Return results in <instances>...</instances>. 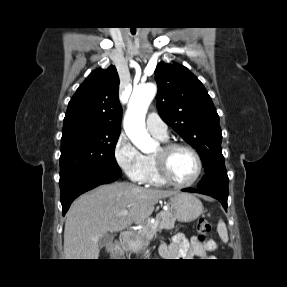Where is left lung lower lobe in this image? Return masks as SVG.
Instances as JSON below:
<instances>
[{
    "label": "left lung lower lobe",
    "instance_id": "obj_1",
    "mask_svg": "<svg viewBox=\"0 0 287 287\" xmlns=\"http://www.w3.org/2000/svg\"><path fill=\"white\" fill-rule=\"evenodd\" d=\"M183 191L197 192L200 194L211 196V197L219 200L221 202V204L223 205L224 209L227 210V198H228L227 193H224V192L219 191V190L204 189V188H198V189L187 188V189H183Z\"/></svg>",
    "mask_w": 287,
    "mask_h": 287
}]
</instances>
